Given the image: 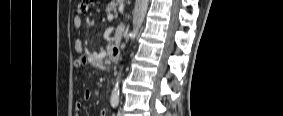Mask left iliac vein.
Instances as JSON below:
<instances>
[{"label":"left iliac vein","mask_w":283,"mask_h":116,"mask_svg":"<svg viewBox=\"0 0 283 116\" xmlns=\"http://www.w3.org/2000/svg\"><path fill=\"white\" fill-rule=\"evenodd\" d=\"M117 116H122L121 111H118Z\"/></svg>","instance_id":"obj_1"}]
</instances>
